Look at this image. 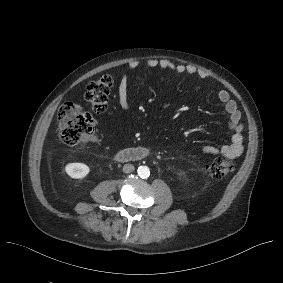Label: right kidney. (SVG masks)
Returning a JSON list of instances; mask_svg holds the SVG:
<instances>
[{
	"label": "right kidney",
	"instance_id": "1",
	"mask_svg": "<svg viewBox=\"0 0 283 283\" xmlns=\"http://www.w3.org/2000/svg\"><path fill=\"white\" fill-rule=\"evenodd\" d=\"M65 172L74 179H82L88 175L90 168L84 163H69L65 166Z\"/></svg>",
	"mask_w": 283,
	"mask_h": 283
}]
</instances>
